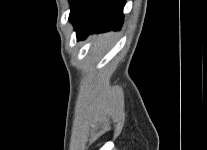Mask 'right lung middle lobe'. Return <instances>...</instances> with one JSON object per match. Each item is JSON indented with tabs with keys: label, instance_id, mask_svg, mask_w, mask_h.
<instances>
[{
	"label": "right lung middle lobe",
	"instance_id": "obj_1",
	"mask_svg": "<svg viewBox=\"0 0 207 150\" xmlns=\"http://www.w3.org/2000/svg\"><path fill=\"white\" fill-rule=\"evenodd\" d=\"M69 2H70V4L72 5V3L74 2V0H70Z\"/></svg>",
	"mask_w": 207,
	"mask_h": 150
}]
</instances>
